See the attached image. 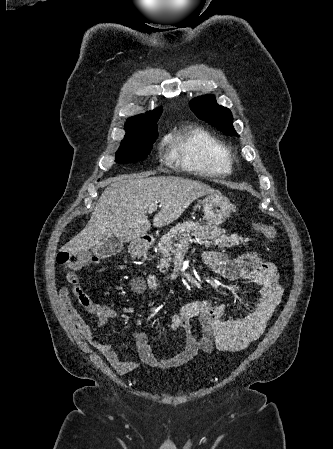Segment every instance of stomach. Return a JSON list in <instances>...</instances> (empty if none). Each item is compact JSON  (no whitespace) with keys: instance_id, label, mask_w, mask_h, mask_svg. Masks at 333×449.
I'll return each instance as SVG.
<instances>
[{"instance_id":"stomach-1","label":"stomach","mask_w":333,"mask_h":449,"mask_svg":"<svg viewBox=\"0 0 333 449\" xmlns=\"http://www.w3.org/2000/svg\"><path fill=\"white\" fill-rule=\"evenodd\" d=\"M204 220L207 226H218L225 222L234 211L233 204L220 193L208 195L203 201ZM134 255H143L146 250L142 245L132 249Z\"/></svg>"}]
</instances>
